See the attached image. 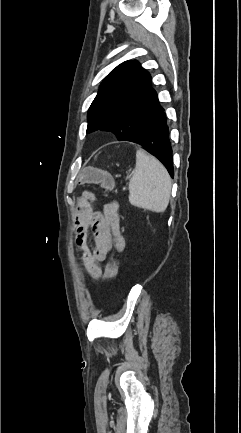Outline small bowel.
<instances>
[{
  "label": "small bowel",
  "instance_id": "1",
  "mask_svg": "<svg viewBox=\"0 0 241 433\" xmlns=\"http://www.w3.org/2000/svg\"><path fill=\"white\" fill-rule=\"evenodd\" d=\"M96 204L95 194L85 191L77 201L73 216L76 245L82 252L86 271L93 278L101 276V264L106 261L113 247L118 252H122L125 248V239L120 232L117 203L106 205L103 212L93 211V206ZM89 228L92 229L95 240L94 250H90L87 245Z\"/></svg>",
  "mask_w": 241,
  "mask_h": 433
}]
</instances>
